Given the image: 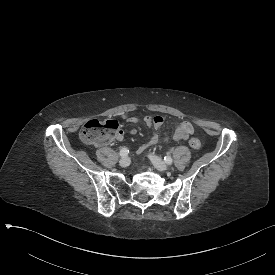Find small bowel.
I'll list each match as a JSON object with an SVG mask.
<instances>
[{
	"instance_id": "1",
	"label": "small bowel",
	"mask_w": 275,
	"mask_h": 275,
	"mask_svg": "<svg viewBox=\"0 0 275 275\" xmlns=\"http://www.w3.org/2000/svg\"><path fill=\"white\" fill-rule=\"evenodd\" d=\"M123 119L126 120L127 122L131 124H136L139 122V118L134 115H123ZM148 122L151 121L150 118L147 119ZM153 124L155 125V132L152 134L151 138L149 139L148 142L141 144L137 148L138 153H143L146 151L150 146L158 143L161 138L156 133L157 128L162 124L163 119L160 116L154 117L152 119ZM133 133H135V130H133ZM193 133V125L189 121H183L180 122L174 129L173 132V139L175 141H183L186 140L190 134ZM117 139L118 140H124L125 139V134L123 129H118L117 130Z\"/></svg>"
}]
</instances>
